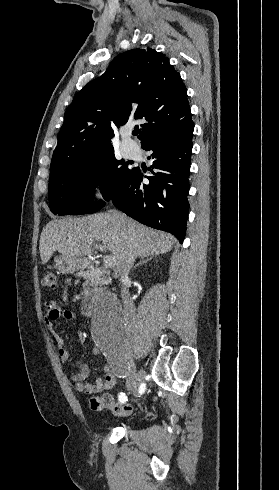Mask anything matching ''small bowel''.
I'll list each match as a JSON object with an SVG mask.
<instances>
[{"label": "small bowel", "mask_w": 279, "mask_h": 490, "mask_svg": "<svg viewBox=\"0 0 279 490\" xmlns=\"http://www.w3.org/2000/svg\"><path fill=\"white\" fill-rule=\"evenodd\" d=\"M73 321L76 315L73 311L62 308L54 301H49L44 304L43 321L46 327L52 328L54 322L58 320ZM55 342L58 347V355L62 362H67L70 359V351L65 346L61 336L54 335ZM96 353V351H95ZM77 370L69 374V379L75 384V389L81 394H97L104 390L111 389L115 384L114 376L109 367L104 368L103 376L96 380L95 383H86L85 380L90 374L89 366L83 361H76Z\"/></svg>", "instance_id": "1"}]
</instances>
